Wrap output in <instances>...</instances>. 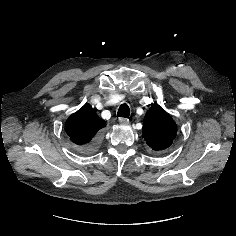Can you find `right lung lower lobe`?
Wrapping results in <instances>:
<instances>
[{
    "label": "right lung lower lobe",
    "mask_w": 236,
    "mask_h": 236,
    "mask_svg": "<svg viewBox=\"0 0 236 236\" xmlns=\"http://www.w3.org/2000/svg\"><path fill=\"white\" fill-rule=\"evenodd\" d=\"M96 147H97V141H93L87 146V148L84 149V152L86 153L92 152Z\"/></svg>",
    "instance_id": "right-lung-lower-lobe-1"
}]
</instances>
